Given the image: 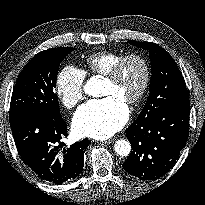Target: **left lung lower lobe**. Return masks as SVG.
<instances>
[{
  "label": "left lung lower lobe",
  "instance_id": "1",
  "mask_svg": "<svg viewBox=\"0 0 205 205\" xmlns=\"http://www.w3.org/2000/svg\"><path fill=\"white\" fill-rule=\"evenodd\" d=\"M190 101H175L157 115L133 122L126 130L132 146L123 169L141 180H154L175 164L189 136Z\"/></svg>",
  "mask_w": 205,
  "mask_h": 205
}]
</instances>
